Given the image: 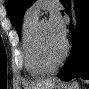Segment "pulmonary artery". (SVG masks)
<instances>
[{
	"instance_id": "obj_1",
	"label": "pulmonary artery",
	"mask_w": 89,
	"mask_h": 89,
	"mask_svg": "<svg viewBox=\"0 0 89 89\" xmlns=\"http://www.w3.org/2000/svg\"><path fill=\"white\" fill-rule=\"evenodd\" d=\"M50 1L46 0V1H37L36 3H34L28 10L26 13L33 15V16H38L39 12H40V7L41 5L47 4Z\"/></svg>"
}]
</instances>
